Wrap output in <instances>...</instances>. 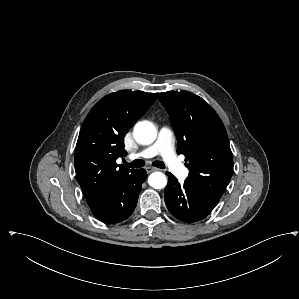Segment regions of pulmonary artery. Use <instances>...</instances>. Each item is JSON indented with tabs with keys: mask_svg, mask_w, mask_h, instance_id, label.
Returning a JSON list of instances; mask_svg holds the SVG:
<instances>
[{
	"mask_svg": "<svg viewBox=\"0 0 299 299\" xmlns=\"http://www.w3.org/2000/svg\"><path fill=\"white\" fill-rule=\"evenodd\" d=\"M173 140V132L167 127H162L158 133V138L153 145L137 153L130 154L129 158H151L159 154L174 175L180 178H186L188 170L178 159L173 148Z\"/></svg>",
	"mask_w": 299,
	"mask_h": 299,
	"instance_id": "pulmonary-artery-1",
	"label": "pulmonary artery"
}]
</instances>
